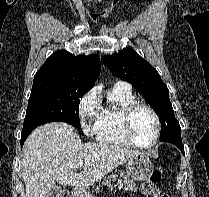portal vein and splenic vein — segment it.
Wrapping results in <instances>:
<instances>
[{
  "mask_svg": "<svg viewBox=\"0 0 209 197\" xmlns=\"http://www.w3.org/2000/svg\"><path fill=\"white\" fill-rule=\"evenodd\" d=\"M77 167H78V168H82V167H83V162H82V161L79 162L78 165H77Z\"/></svg>",
  "mask_w": 209,
  "mask_h": 197,
  "instance_id": "obj_1",
  "label": "portal vein and splenic vein"
}]
</instances>
